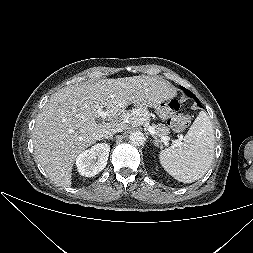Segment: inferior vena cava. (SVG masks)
I'll return each mask as SVG.
<instances>
[{
    "mask_svg": "<svg viewBox=\"0 0 253 253\" xmlns=\"http://www.w3.org/2000/svg\"><path fill=\"white\" fill-rule=\"evenodd\" d=\"M121 131H122V130L119 129V128L111 129V130H109V131H106V132L104 133L103 137L105 138V137H108V136H110V135H113V134H115V133H117V132H121Z\"/></svg>",
    "mask_w": 253,
    "mask_h": 253,
    "instance_id": "1",
    "label": "inferior vena cava"
}]
</instances>
